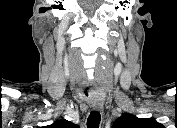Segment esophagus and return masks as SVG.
Masks as SVG:
<instances>
[{
  "label": "esophagus",
  "instance_id": "obj_1",
  "mask_svg": "<svg viewBox=\"0 0 177 128\" xmlns=\"http://www.w3.org/2000/svg\"><path fill=\"white\" fill-rule=\"evenodd\" d=\"M92 109L95 111H102L103 106L102 105H92Z\"/></svg>",
  "mask_w": 177,
  "mask_h": 128
}]
</instances>
